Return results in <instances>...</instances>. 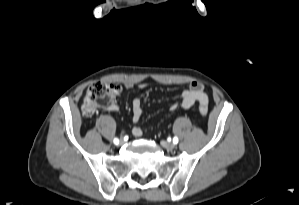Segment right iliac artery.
Returning <instances> with one entry per match:
<instances>
[{
    "mask_svg": "<svg viewBox=\"0 0 299 205\" xmlns=\"http://www.w3.org/2000/svg\"><path fill=\"white\" fill-rule=\"evenodd\" d=\"M118 143H119V140H118V138H115V139H114V144H116V145H117Z\"/></svg>",
    "mask_w": 299,
    "mask_h": 205,
    "instance_id": "82829eb1",
    "label": "right iliac artery"
}]
</instances>
